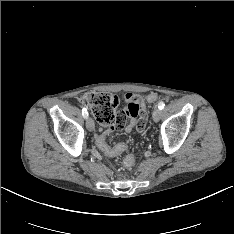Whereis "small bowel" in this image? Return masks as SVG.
Returning a JSON list of instances; mask_svg holds the SVG:
<instances>
[{
    "instance_id": "1",
    "label": "small bowel",
    "mask_w": 234,
    "mask_h": 234,
    "mask_svg": "<svg viewBox=\"0 0 234 234\" xmlns=\"http://www.w3.org/2000/svg\"><path fill=\"white\" fill-rule=\"evenodd\" d=\"M125 101L126 106L121 112L126 119H129L125 127L126 132H132L135 129L138 135H143L145 132V125L148 123L149 119V114L145 111L144 99L138 94L127 93Z\"/></svg>"
}]
</instances>
